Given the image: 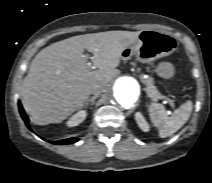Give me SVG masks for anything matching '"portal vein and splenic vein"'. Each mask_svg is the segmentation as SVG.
Segmentation results:
<instances>
[{
    "mask_svg": "<svg viewBox=\"0 0 212 183\" xmlns=\"http://www.w3.org/2000/svg\"><path fill=\"white\" fill-rule=\"evenodd\" d=\"M90 59L92 60V57H91ZM92 68H93V66H92ZM159 99L165 100L164 102H165V103H169V105L171 106V108L174 109L175 105H174V103H173L168 97L161 95V96L159 97ZM168 113L170 114L171 111H168Z\"/></svg>",
    "mask_w": 212,
    "mask_h": 183,
    "instance_id": "1",
    "label": "portal vein and splenic vein"
}]
</instances>
